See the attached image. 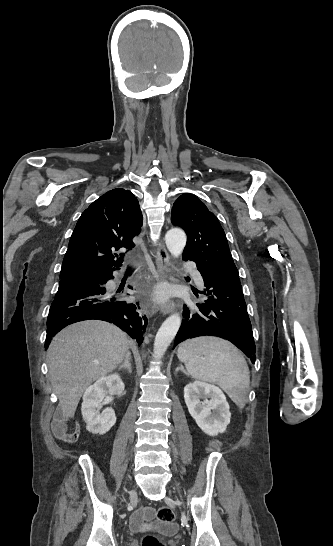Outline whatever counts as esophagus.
<instances>
[{
  "label": "esophagus",
  "mask_w": 333,
  "mask_h": 546,
  "mask_svg": "<svg viewBox=\"0 0 333 546\" xmlns=\"http://www.w3.org/2000/svg\"><path fill=\"white\" fill-rule=\"evenodd\" d=\"M155 258V263L157 266V270L159 272L160 279L162 281H168L172 279L171 276V263L169 254L167 252V249L165 245L160 242L157 246V250L155 254H153ZM142 306L145 307L148 311V314L151 316L156 311L155 306H150L146 294H143L142 296ZM176 308V304L174 301H168L167 303L160 306V311L163 315H167L171 312H173Z\"/></svg>",
  "instance_id": "esophagus-1"
}]
</instances>
